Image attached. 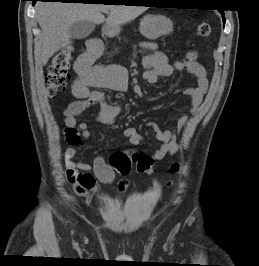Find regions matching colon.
<instances>
[{"label":"colon","instance_id":"colon-1","mask_svg":"<svg viewBox=\"0 0 259 266\" xmlns=\"http://www.w3.org/2000/svg\"><path fill=\"white\" fill-rule=\"evenodd\" d=\"M196 33L199 37H208L211 33L210 24L206 21H200L196 26ZM196 57L197 53L191 51L186 55L185 60L187 63L193 62ZM71 61L72 51L70 48L59 51L53 57L45 74V82L51 96L66 88L70 80L69 69ZM66 137L71 144L79 142L77 130L74 128L67 129ZM110 165L122 176H127L131 172L132 166L135 167L137 172L142 174L150 175L153 172V160L142 152H135L131 155L125 152H117L112 155ZM171 169L174 173H178L180 165L174 163Z\"/></svg>","mask_w":259,"mask_h":266}]
</instances>
